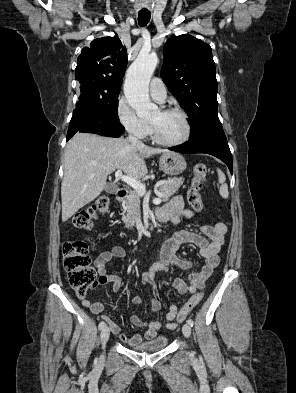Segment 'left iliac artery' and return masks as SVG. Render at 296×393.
I'll use <instances>...</instances> for the list:
<instances>
[{
  "mask_svg": "<svg viewBox=\"0 0 296 393\" xmlns=\"http://www.w3.org/2000/svg\"><path fill=\"white\" fill-rule=\"evenodd\" d=\"M187 323L192 327L193 326V324H194V322H193V320L192 319H188V321H187Z\"/></svg>",
  "mask_w": 296,
  "mask_h": 393,
  "instance_id": "1",
  "label": "left iliac artery"
}]
</instances>
